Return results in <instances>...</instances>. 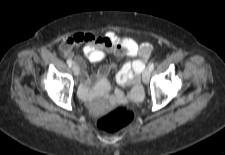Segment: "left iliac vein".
Here are the masks:
<instances>
[{
  "label": "left iliac vein",
  "mask_w": 225,
  "mask_h": 155,
  "mask_svg": "<svg viewBox=\"0 0 225 155\" xmlns=\"http://www.w3.org/2000/svg\"><path fill=\"white\" fill-rule=\"evenodd\" d=\"M151 75V71L149 69H146L142 74V81L143 83L147 84L149 82Z\"/></svg>",
  "instance_id": "4c4485c4"
}]
</instances>
